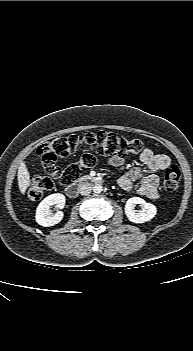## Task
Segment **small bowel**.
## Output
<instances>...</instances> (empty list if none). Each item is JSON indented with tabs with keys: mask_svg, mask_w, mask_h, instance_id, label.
<instances>
[{
	"mask_svg": "<svg viewBox=\"0 0 193 351\" xmlns=\"http://www.w3.org/2000/svg\"><path fill=\"white\" fill-rule=\"evenodd\" d=\"M140 160L144 168H131L119 178L118 185L125 191H133L149 199H158L159 178L156 172L163 170L170 159L165 154H156L147 148L141 153ZM108 163L114 167H121L125 164V159L123 156L112 155L108 158Z\"/></svg>",
	"mask_w": 193,
	"mask_h": 351,
	"instance_id": "c3829d8e",
	"label": "small bowel"
}]
</instances>
